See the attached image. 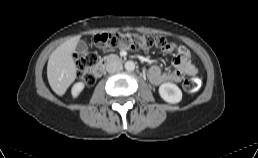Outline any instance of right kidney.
<instances>
[{"label":"right kidney","instance_id":"right-kidney-1","mask_svg":"<svg viewBox=\"0 0 258 158\" xmlns=\"http://www.w3.org/2000/svg\"><path fill=\"white\" fill-rule=\"evenodd\" d=\"M84 89V83L83 82H77L76 84L73 85L71 94L73 98L78 97V95L82 92Z\"/></svg>","mask_w":258,"mask_h":158}]
</instances>
